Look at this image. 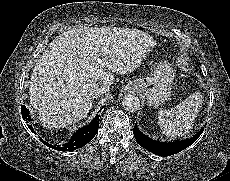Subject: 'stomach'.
I'll list each match as a JSON object with an SVG mask.
<instances>
[{"instance_id": "1", "label": "stomach", "mask_w": 230, "mask_h": 181, "mask_svg": "<svg viewBox=\"0 0 230 181\" xmlns=\"http://www.w3.org/2000/svg\"><path fill=\"white\" fill-rule=\"evenodd\" d=\"M174 70L169 63H162L149 77L131 84L132 89L140 91L147 99V104L156 107L168 100L171 95V82Z\"/></svg>"}]
</instances>
